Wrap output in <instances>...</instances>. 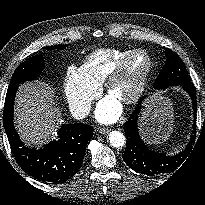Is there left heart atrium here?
<instances>
[{
	"label": "left heart atrium",
	"instance_id": "1",
	"mask_svg": "<svg viewBox=\"0 0 205 205\" xmlns=\"http://www.w3.org/2000/svg\"><path fill=\"white\" fill-rule=\"evenodd\" d=\"M121 115L118 101L113 97L102 99L96 109V117L102 123H113Z\"/></svg>",
	"mask_w": 205,
	"mask_h": 205
}]
</instances>
